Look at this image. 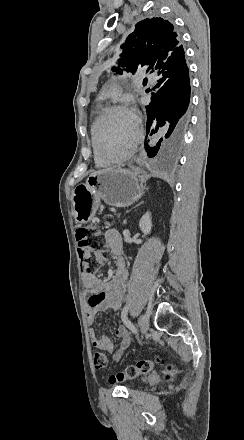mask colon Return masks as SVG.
Returning <instances> with one entry per match:
<instances>
[{
	"label": "colon",
	"mask_w": 244,
	"mask_h": 440,
	"mask_svg": "<svg viewBox=\"0 0 244 440\" xmlns=\"http://www.w3.org/2000/svg\"><path fill=\"white\" fill-rule=\"evenodd\" d=\"M76 240L78 255L85 264V270L88 273L93 272L102 264V253L106 246L103 233L96 227H79L76 230ZM160 360V357H155L154 360L141 359L134 364L127 365L121 372L111 374V382L134 380L141 375L149 374L153 364ZM92 363L96 369H105L108 365L106 354L103 351H94ZM169 373L166 375L169 376Z\"/></svg>",
	"instance_id": "colon-1"
}]
</instances>
